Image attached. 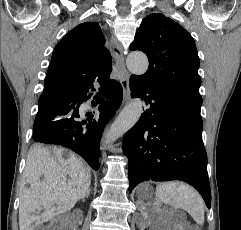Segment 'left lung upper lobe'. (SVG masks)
Instances as JSON below:
<instances>
[{
  "mask_svg": "<svg viewBox=\"0 0 241 230\" xmlns=\"http://www.w3.org/2000/svg\"><path fill=\"white\" fill-rule=\"evenodd\" d=\"M130 50L143 51L149 59L147 72L136 76L141 83L202 104L196 45L190 33L178 23L161 13L148 15L137 30Z\"/></svg>",
  "mask_w": 241,
  "mask_h": 230,
  "instance_id": "5c2ea615",
  "label": "left lung upper lobe"
}]
</instances>
